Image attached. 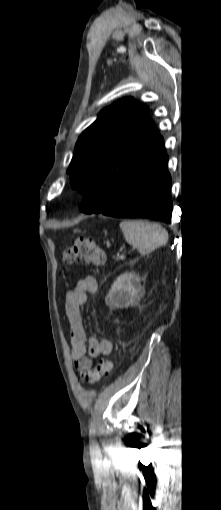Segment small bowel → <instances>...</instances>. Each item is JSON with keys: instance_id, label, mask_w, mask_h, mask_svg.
<instances>
[{"instance_id": "c3829d8e", "label": "small bowel", "mask_w": 221, "mask_h": 510, "mask_svg": "<svg viewBox=\"0 0 221 510\" xmlns=\"http://www.w3.org/2000/svg\"><path fill=\"white\" fill-rule=\"evenodd\" d=\"M97 290L96 278L86 276L67 292L65 299V313L71 333V355L76 369L81 372L89 371L98 356H109L113 352L111 341L94 337L87 339L81 309L88 295L95 294Z\"/></svg>"}]
</instances>
